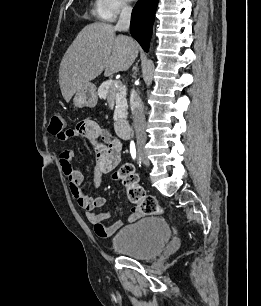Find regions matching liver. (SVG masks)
Wrapping results in <instances>:
<instances>
[{
	"mask_svg": "<svg viewBox=\"0 0 261 306\" xmlns=\"http://www.w3.org/2000/svg\"><path fill=\"white\" fill-rule=\"evenodd\" d=\"M138 56V44L124 35L116 36L111 24L85 26L67 49L59 68V85L65 101L103 71L106 77L126 71Z\"/></svg>",
	"mask_w": 261,
	"mask_h": 306,
	"instance_id": "liver-1",
	"label": "liver"
}]
</instances>
